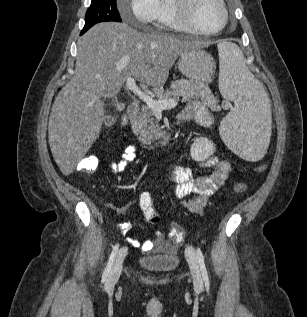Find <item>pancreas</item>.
Wrapping results in <instances>:
<instances>
[{
	"mask_svg": "<svg viewBox=\"0 0 307 317\" xmlns=\"http://www.w3.org/2000/svg\"><path fill=\"white\" fill-rule=\"evenodd\" d=\"M155 94L159 100L181 98V102H188L192 99H204L209 90L203 83L181 78L173 82L166 92L159 88ZM212 104H215V101ZM131 124L133 132L139 135V141L142 143L151 144L161 138V129L155 121L154 111L148 105H143L141 111L131 118Z\"/></svg>",
	"mask_w": 307,
	"mask_h": 317,
	"instance_id": "1",
	"label": "pancreas"
}]
</instances>
